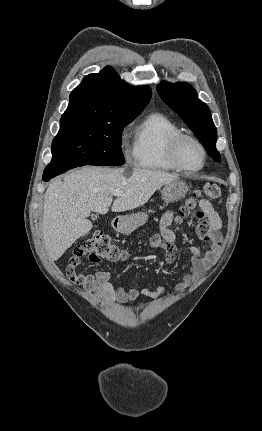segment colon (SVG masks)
Masks as SVG:
<instances>
[{
	"instance_id": "1",
	"label": "colon",
	"mask_w": 262,
	"mask_h": 431,
	"mask_svg": "<svg viewBox=\"0 0 262 431\" xmlns=\"http://www.w3.org/2000/svg\"><path fill=\"white\" fill-rule=\"evenodd\" d=\"M202 195L214 202H219L222 197L221 187L216 183H207L203 186L202 191L196 193L190 198L187 203L180 209V212L176 218V222H180L186 218L195 207L198 198ZM150 243L154 248H162L166 246L165 239L159 235H153L150 239ZM124 250L110 241L103 233L94 232L91 237L83 241L77 248V252L70 257L66 268V274L73 278L74 275H79L77 272V266L80 263L81 258L87 256L91 261H118L124 257Z\"/></svg>"
}]
</instances>
